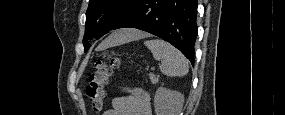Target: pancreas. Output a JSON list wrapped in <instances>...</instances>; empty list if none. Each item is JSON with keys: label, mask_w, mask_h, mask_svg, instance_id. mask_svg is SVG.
Instances as JSON below:
<instances>
[{"label": "pancreas", "mask_w": 285, "mask_h": 115, "mask_svg": "<svg viewBox=\"0 0 285 115\" xmlns=\"http://www.w3.org/2000/svg\"><path fill=\"white\" fill-rule=\"evenodd\" d=\"M149 78L152 84H156L158 82L159 76L153 73H150Z\"/></svg>", "instance_id": "1"}]
</instances>
